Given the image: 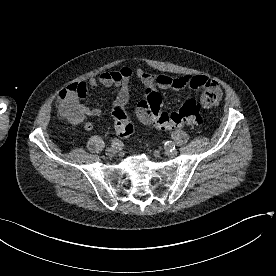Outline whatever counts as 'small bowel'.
Instances as JSON below:
<instances>
[{
    "label": "small bowel",
    "instance_id": "small-bowel-1",
    "mask_svg": "<svg viewBox=\"0 0 276 276\" xmlns=\"http://www.w3.org/2000/svg\"><path fill=\"white\" fill-rule=\"evenodd\" d=\"M136 76L146 88H151L157 85L160 89L180 90L188 89H204V93L200 97V102L204 108H212L216 106L222 99L223 92L219 83L205 75H182L178 77L167 74L154 75L143 69H132L129 66H123L117 70L101 72L97 77H91L87 82L81 81L71 86H76L82 89L80 94H72L65 101L59 100V110L64 102H68L78 109L79 115L75 119H67L73 125L82 124L84 129L91 130L93 125L89 121H84L86 116L96 117L101 114V109L97 107H87L82 103L88 88H96L98 85L102 87H116L118 93L114 101V106L126 107L130 98L129 83L133 76ZM139 116V115H138ZM145 124H150L149 121L141 118Z\"/></svg>",
    "mask_w": 276,
    "mask_h": 276
}]
</instances>
